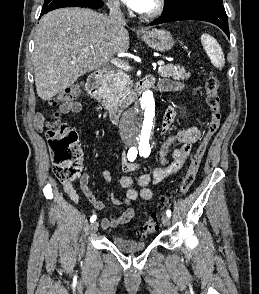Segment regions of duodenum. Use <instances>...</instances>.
<instances>
[{
	"label": "duodenum",
	"mask_w": 259,
	"mask_h": 294,
	"mask_svg": "<svg viewBox=\"0 0 259 294\" xmlns=\"http://www.w3.org/2000/svg\"><path fill=\"white\" fill-rule=\"evenodd\" d=\"M109 71L106 69H102L94 72L89 76L86 82V91L88 95L98 104V108L100 109L102 103L105 99V95L103 92V86L106 82ZM153 84V81L150 77H145L140 80L132 90V93L129 95L126 102L121 105L115 106L110 110V120L113 124H116L123 111L127 109L133 102L138 100L143 92L148 89Z\"/></svg>",
	"instance_id": "1"
}]
</instances>
